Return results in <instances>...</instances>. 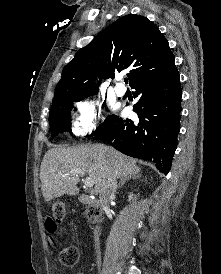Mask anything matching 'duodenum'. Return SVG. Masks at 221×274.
Here are the masks:
<instances>
[{
    "mask_svg": "<svg viewBox=\"0 0 221 274\" xmlns=\"http://www.w3.org/2000/svg\"><path fill=\"white\" fill-rule=\"evenodd\" d=\"M79 200L81 203H83L91 208H94V209L98 208V206H99L98 201L95 198H93L89 195H86V194H81L79 196Z\"/></svg>",
    "mask_w": 221,
    "mask_h": 274,
    "instance_id": "1",
    "label": "duodenum"
}]
</instances>
